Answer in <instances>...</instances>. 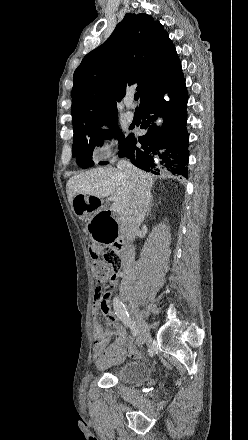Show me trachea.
<instances>
[{
  "label": "trachea",
  "instance_id": "trachea-1",
  "mask_svg": "<svg viewBox=\"0 0 248 440\" xmlns=\"http://www.w3.org/2000/svg\"><path fill=\"white\" fill-rule=\"evenodd\" d=\"M138 98H139V95H138V93H136V94L134 95V99H135V100H138Z\"/></svg>",
  "mask_w": 248,
  "mask_h": 440
}]
</instances>
